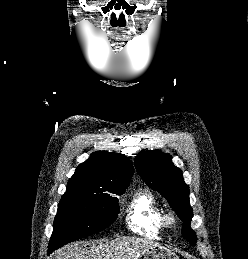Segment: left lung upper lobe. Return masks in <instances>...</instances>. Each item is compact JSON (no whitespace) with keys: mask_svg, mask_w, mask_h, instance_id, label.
Wrapping results in <instances>:
<instances>
[{"mask_svg":"<svg viewBox=\"0 0 248 259\" xmlns=\"http://www.w3.org/2000/svg\"><path fill=\"white\" fill-rule=\"evenodd\" d=\"M169 154L159 150L140 153L135 158V167L145 183L158 191L183 221L182 235L192 244L196 235L190 228L193 211L189 203V187L182 171L174 166Z\"/></svg>","mask_w":248,"mask_h":259,"instance_id":"5c2ea615","label":"left lung upper lobe"}]
</instances>
